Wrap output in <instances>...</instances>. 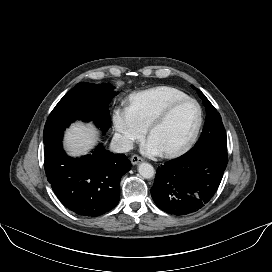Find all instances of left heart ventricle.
<instances>
[{"mask_svg":"<svg viewBox=\"0 0 272 272\" xmlns=\"http://www.w3.org/2000/svg\"><path fill=\"white\" fill-rule=\"evenodd\" d=\"M197 117L196 105L191 102L184 103L158 125L150 137L157 142L163 152L176 149L183 145L192 134Z\"/></svg>","mask_w":272,"mask_h":272,"instance_id":"left-heart-ventricle-1","label":"left heart ventricle"}]
</instances>
